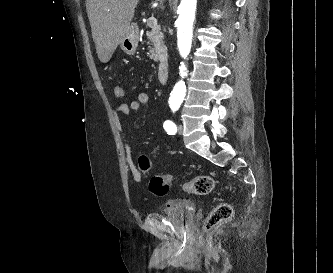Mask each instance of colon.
Masks as SVG:
<instances>
[{
    "label": "colon",
    "instance_id": "5ec220e1",
    "mask_svg": "<svg viewBox=\"0 0 333 273\" xmlns=\"http://www.w3.org/2000/svg\"><path fill=\"white\" fill-rule=\"evenodd\" d=\"M113 97L117 100H123L125 92L122 87L114 86L112 90ZM137 167L142 174H148L151 170V163L147 156L140 155L137 159ZM174 180L171 174L163 176H152L148 188L158 196L167 194L170 184ZM215 180L208 175H199L186 181L182 189L184 192L195 195H207L215 188ZM233 217V208L229 203L218 204L208 215L204 223V231L210 233L221 224L229 221Z\"/></svg>",
    "mask_w": 333,
    "mask_h": 273
}]
</instances>
